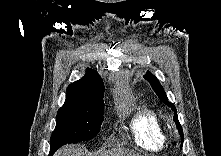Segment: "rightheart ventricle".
Returning a JSON list of instances; mask_svg holds the SVG:
<instances>
[{"label":"right heart ventricle","instance_id":"1","mask_svg":"<svg viewBox=\"0 0 221 156\" xmlns=\"http://www.w3.org/2000/svg\"><path fill=\"white\" fill-rule=\"evenodd\" d=\"M130 129L136 144L147 151H160L168 141L165 125L155 112L148 109L134 115Z\"/></svg>","mask_w":221,"mask_h":156}]
</instances>
